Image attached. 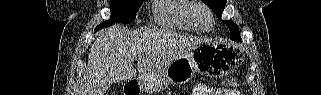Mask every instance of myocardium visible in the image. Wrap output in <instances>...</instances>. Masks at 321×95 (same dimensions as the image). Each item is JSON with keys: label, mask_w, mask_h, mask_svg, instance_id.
I'll return each instance as SVG.
<instances>
[{"label": "myocardium", "mask_w": 321, "mask_h": 95, "mask_svg": "<svg viewBox=\"0 0 321 95\" xmlns=\"http://www.w3.org/2000/svg\"><path fill=\"white\" fill-rule=\"evenodd\" d=\"M194 20L201 31H210L214 27L213 14L205 5L198 4L194 11Z\"/></svg>", "instance_id": "f54148a6"}]
</instances>
